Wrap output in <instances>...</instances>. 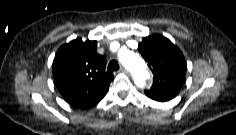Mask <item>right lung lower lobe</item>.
Returning a JSON list of instances; mask_svg holds the SVG:
<instances>
[{"label": "right lung lower lobe", "instance_id": "1", "mask_svg": "<svg viewBox=\"0 0 236 135\" xmlns=\"http://www.w3.org/2000/svg\"><path fill=\"white\" fill-rule=\"evenodd\" d=\"M99 101H100V100H99ZM99 101L95 102L94 104H92V105H90V106L84 107V108H82V109L90 108V107H92L93 105H95L96 103H98Z\"/></svg>", "mask_w": 236, "mask_h": 135}]
</instances>
